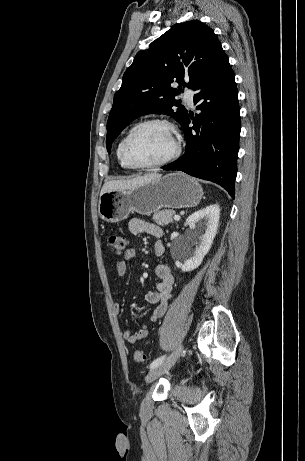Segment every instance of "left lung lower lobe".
<instances>
[{
	"mask_svg": "<svg viewBox=\"0 0 305 461\" xmlns=\"http://www.w3.org/2000/svg\"><path fill=\"white\" fill-rule=\"evenodd\" d=\"M193 90L200 115L187 114L181 123L186 151L178 160L163 166L221 185L234 197L240 112L234 73L223 49L215 63ZM193 127H189L190 121Z\"/></svg>",
	"mask_w": 305,
	"mask_h": 461,
	"instance_id": "left-lung-lower-lobe-1",
	"label": "left lung lower lobe"
}]
</instances>
